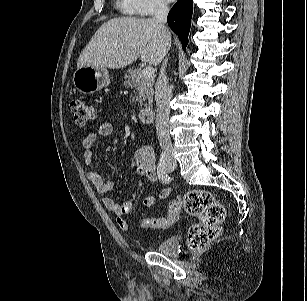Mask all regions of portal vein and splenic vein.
<instances>
[{"mask_svg": "<svg viewBox=\"0 0 307 301\" xmlns=\"http://www.w3.org/2000/svg\"><path fill=\"white\" fill-rule=\"evenodd\" d=\"M154 73H155V70L152 66H148L143 69V75L145 77H153Z\"/></svg>", "mask_w": 307, "mask_h": 301, "instance_id": "portal-vein-and-splenic-vein-1", "label": "portal vein and splenic vein"}]
</instances>
